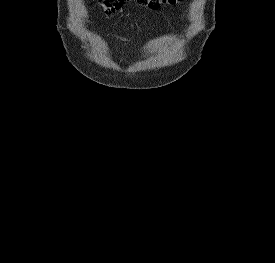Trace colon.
Wrapping results in <instances>:
<instances>
[{"label":"colon","instance_id":"obj_1","mask_svg":"<svg viewBox=\"0 0 275 263\" xmlns=\"http://www.w3.org/2000/svg\"><path fill=\"white\" fill-rule=\"evenodd\" d=\"M126 0H99V5L106 14L119 11ZM137 4L145 6L150 10H160L166 5L174 4L177 0H135Z\"/></svg>","mask_w":275,"mask_h":263}]
</instances>
